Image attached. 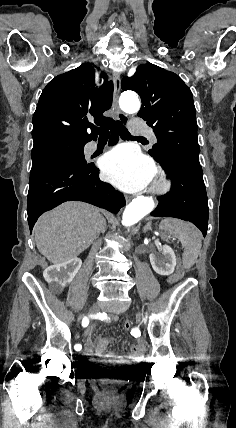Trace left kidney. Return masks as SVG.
Masks as SVG:
<instances>
[{
  "instance_id": "obj_1",
  "label": "left kidney",
  "mask_w": 236,
  "mask_h": 428,
  "mask_svg": "<svg viewBox=\"0 0 236 428\" xmlns=\"http://www.w3.org/2000/svg\"><path fill=\"white\" fill-rule=\"evenodd\" d=\"M158 252L163 254V256H155V254H150L151 266L160 276H170L173 274L176 266V256L170 248V246H157Z\"/></svg>"
}]
</instances>
